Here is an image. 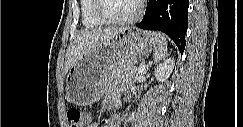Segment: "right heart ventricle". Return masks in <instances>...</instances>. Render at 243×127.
Instances as JSON below:
<instances>
[{"label": "right heart ventricle", "instance_id": "obj_1", "mask_svg": "<svg viewBox=\"0 0 243 127\" xmlns=\"http://www.w3.org/2000/svg\"><path fill=\"white\" fill-rule=\"evenodd\" d=\"M80 12L84 27L94 29L106 25V23L96 15L95 0H82L80 2Z\"/></svg>", "mask_w": 243, "mask_h": 127}]
</instances>
